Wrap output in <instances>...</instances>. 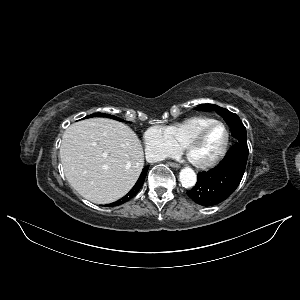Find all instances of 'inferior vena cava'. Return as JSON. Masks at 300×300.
Wrapping results in <instances>:
<instances>
[{"instance_id":"inferior-vena-cava-1","label":"inferior vena cava","mask_w":300,"mask_h":300,"mask_svg":"<svg viewBox=\"0 0 300 300\" xmlns=\"http://www.w3.org/2000/svg\"><path fill=\"white\" fill-rule=\"evenodd\" d=\"M146 160L150 163L157 162L163 160L164 156L160 153L152 152L146 150Z\"/></svg>"}]
</instances>
